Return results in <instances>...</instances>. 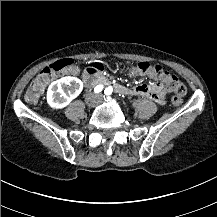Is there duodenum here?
Wrapping results in <instances>:
<instances>
[{
    "label": "duodenum",
    "mask_w": 217,
    "mask_h": 217,
    "mask_svg": "<svg viewBox=\"0 0 217 217\" xmlns=\"http://www.w3.org/2000/svg\"><path fill=\"white\" fill-rule=\"evenodd\" d=\"M83 82L88 88H92L96 85H104L106 89L113 90L118 94L127 95L132 93V89L117 83H113L111 80L101 75V73L93 67H89L85 70L83 74Z\"/></svg>",
    "instance_id": "410a0bca"
}]
</instances>
